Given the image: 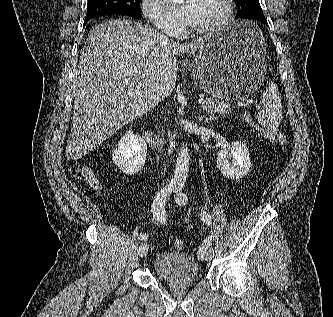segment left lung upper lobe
I'll list each match as a JSON object with an SVG mask.
<instances>
[{
    "label": "left lung upper lobe",
    "instance_id": "5c2ea615",
    "mask_svg": "<svg viewBox=\"0 0 333 317\" xmlns=\"http://www.w3.org/2000/svg\"><path fill=\"white\" fill-rule=\"evenodd\" d=\"M237 5L236 18L248 16L253 13L262 14V9L258 0H234Z\"/></svg>",
    "mask_w": 333,
    "mask_h": 317
}]
</instances>
